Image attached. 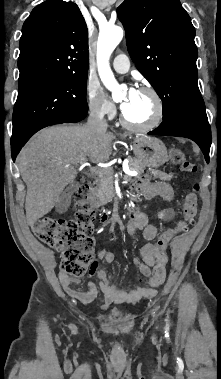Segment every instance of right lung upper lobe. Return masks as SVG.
Here are the masks:
<instances>
[{"label": "right lung upper lobe", "mask_w": 221, "mask_h": 379, "mask_svg": "<svg viewBox=\"0 0 221 379\" xmlns=\"http://www.w3.org/2000/svg\"><path fill=\"white\" fill-rule=\"evenodd\" d=\"M18 85L63 75L88 74V30L75 3L48 0L22 27Z\"/></svg>", "instance_id": "1"}]
</instances>
